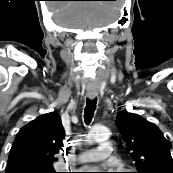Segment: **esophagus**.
<instances>
[{
  "label": "esophagus",
  "instance_id": "1",
  "mask_svg": "<svg viewBox=\"0 0 173 173\" xmlns=\"http://www.w3.org/2000/svg\"><path fill=\"white\" fill-rule=\"evenodd\" d=\"M87 95L90 99H94L98 95V93L97 92H88Z\"/></svg>",
  "mask_w": 173,
  "mask_h": 173
}]
</instances>
